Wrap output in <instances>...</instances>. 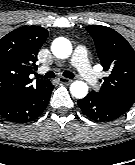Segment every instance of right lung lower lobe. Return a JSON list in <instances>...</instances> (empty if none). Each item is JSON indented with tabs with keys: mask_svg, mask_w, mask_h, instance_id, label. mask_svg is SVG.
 I'll return each instance as SVG.
<instances>
[{
	"mask_svg": "<svg viewBox=\"0 0 135 165\" xmlns=\"http://www.w3.org/2000/svg\"><path fill=\"white\" fill-rule=\"evenodd\" d=\"M53 85L47 88L19 90L0 96V116L14 123H26L42 114L48 105Z\"/></svg>",
	"mask_w": 135,
	"mask_h": 165,
	"instance_id": "98d812e1",
	"label": "right lung lower lobe"
}]
</instances>
